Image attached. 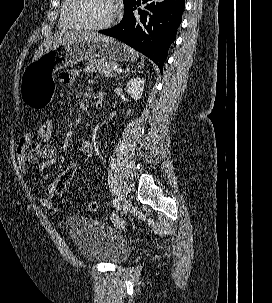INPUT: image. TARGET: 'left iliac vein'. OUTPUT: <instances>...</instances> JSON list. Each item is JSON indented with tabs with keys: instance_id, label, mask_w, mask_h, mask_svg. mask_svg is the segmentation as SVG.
<instances>
[{
	"instance_id": "4c4485c4",
	"label": "left iliac vein",
	"mask_w": 272,
	"mask_h": 303,
	"mask_svg": "<svg viewBox=\"0 0 272 303\" xmlns=\"http://www.w3.org/2000/svg\"><path fill=\"white\" fill-rule=\"evenodd\" d=\"M131 208V201L129 199H124L122 204V213L126 214Z\"/></svg>"
}]
</instances>
